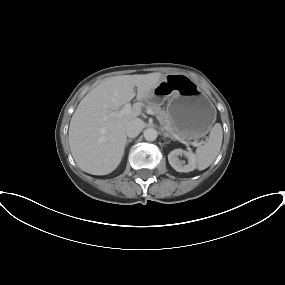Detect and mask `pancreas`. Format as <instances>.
Instances as JSON below:
<instances>
[{
  "label": "pancreas",
  "instance_id": "obj_1",
  "mask_svg": "<svg viewBox=\"0 0 285 285\" xmlns=\"http://www.w3.org/2000/svg\"><path fill=\"white\" fill-rule=\"evenodd\" d=\"M146 108L152 110L156 114L160 123L165 128H167L170 132L177 134V135H180L178 130L173 126L172 121H171L168 113L165 110L161 109L160 106L148 103Z\"/></svg>",
  "mask_w": 285,
  "mask_h": 285
}]
</instances>
